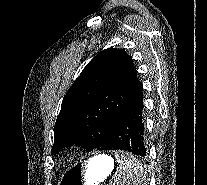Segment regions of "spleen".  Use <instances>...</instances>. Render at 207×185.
<instances>
[{
  "mask_svg": "<svg viewBox=\"0 0 207 185\" xmlns=\"http://www.w3.org/2000/svg\"><path fill=\"white\" fill-rule=\"evenodd\" d=\"M119 156L122 158L116 159L119 168L111 178V185H142L144 179H148L143 163H139V159H126L133 158L132 151H119Z\"/></svg>",
  "mask_w": 207,
  "mask_h": 185,
  "instance_id": "3e777b00",
  "label": "spleen"
}]
</instances>
